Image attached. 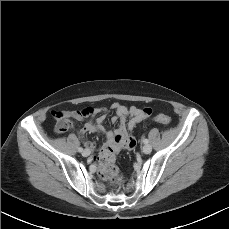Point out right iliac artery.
<instances>
[{
	"label": "right iliac artery",
	"instance_id": "obj_1",
	"mask_svg": "<svg viewBox=\"0 0 229 229\" xmlns=\"http://www.w3.org/2000/svg\"><path fill=\"white\" fill-rule=\"evenodd\" d=\"M78 151H79V152H82V151H83V148H82V147H79V148H78Z\"/></svg>",
	"mask_w": 229,
	"mask_h": 229
}]
</instances>
